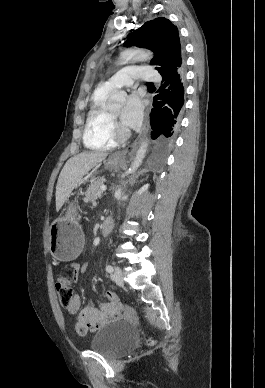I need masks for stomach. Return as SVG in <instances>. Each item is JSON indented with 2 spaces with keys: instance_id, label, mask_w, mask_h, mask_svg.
<instances>
[{
  "instance_id": "stomach-1",
  "label": "stomach",
  "mask_w": 265,
  "mask_h": 388,
  "mask_svg": "<svg viewBox=\"0 0 265 388\" xmlns=\"http://www.w3.org/2000/svg\"><path fill=\"white\" fill-rule=\"evenodd\" d=\"M125 164V160L118 156H111L105 167L110 170H119ZM78 206L71 203L65 217L53 222L50 229V252L59 261H71L81 251L83 244V233L76 221V210Z\"/></svg>"
}]
</instances>
